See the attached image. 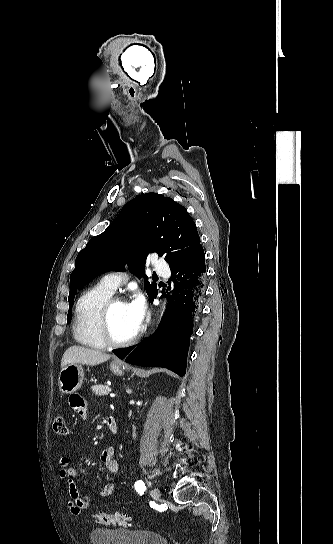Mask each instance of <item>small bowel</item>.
<instances>
[{"label": "small bowel", "instance_id": "obj_1", "mask_svg": "<svg viewBox=\"0 0 333 544\" xmlns=\"http://www.w3.org/2000/svg\"><path fill=\"white\" fill-rule=\"evenodd\" d=\"M69 405L74 413L81 419L87 418V404L85 399L79 394H72L69 397ZM107 425L112 434L118 432V424L115 419L109 418ZM115 450L113 447L104 449L100 459L104 468L111 474H116L120 469V464L113 458ZM59 476L65 481L67 491L69 493V510L74 515H80L87 510L91 504L89 496L84 494L77 486V472L74 468L69 467L68 459L63 457L59 460ZM115 486L113 483L105 484L100 490L101 497H109L114 493Z\"/></svg>", "mask_w": 333, "mask_h": 544}]
</instances>
